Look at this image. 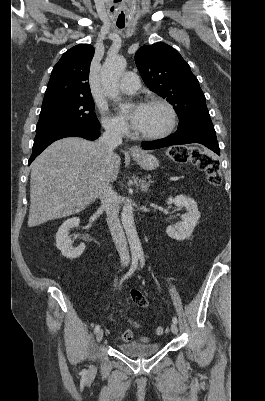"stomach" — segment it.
Returning a JSON list of instances; mask_svg holds the SVG:
<instances>
[{
	"label": "stomach",
	"instance_id": "obj_1",
	"mask_svg": "<svg viewBox=\"0 0 265 401\" xmlns=\"http://www.w3.org/2000/svg\"><path fill=\"white\" fill-rule=\"evenodd\" d=\"M134 160L137 164H140L145 170H154L159 166V160L154 156V154H148L147 150H141L140 152H131Z\"/></svg>",
	"mask_w": 265,
	"mask_h": 401
}]
</instances>
